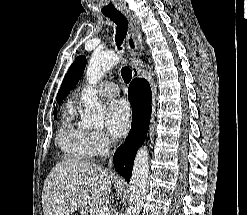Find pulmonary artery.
Here are the masks:
<instances>
[{"label":"pulmonary artery","mask_w":247,"mask_h":215,"mask_svg":"<svg viewBox=\"0 0 247 215\" xmlns=\"http://www.w3.org/2000/svg\"><path fill=\"white\" fill-rule=\"evenodd\" d=\"M97 92L102 97L111 98L118 95L119 88L111 81H103L98 85Z\"/></svg>","instance_id":"pulmonary-artery-1"}]
</instances>
